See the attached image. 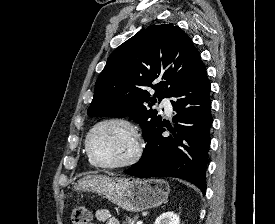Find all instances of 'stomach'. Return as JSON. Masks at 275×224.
Returning <instances> with one entry per match:
<instances>
[{
	"label": "stomach",
	"instance_id": "1",
	"mask_svg": "<svg viewBox=\"0 0 275 224\" xmlns=\"http://www.w3.org/2000/svg\"><path fill=\"white\" fill-rule=\"evenodd\" d=\"M76 191L96 193L129 212L159 207L169 196V185L162 179L114 178L89 175L74 186Z\"/></svg>",
	"mask_w": 275,
	"mask_h": 224
}]
</instances>
